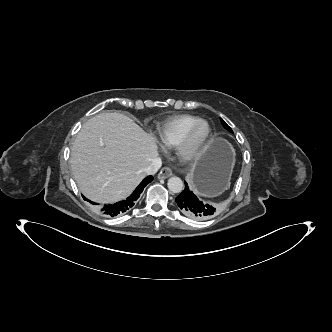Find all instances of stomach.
<instances>
[{
  "label": "stomach",
  "instance_id": "1",
  "mask_svg": "<svg viewBox=\"0 0 332 332\" xmlns=\"http://www.w3.org/2000/svg\"><path fill=\"white\" fill-rule=\"evenodd\" d=\"M234 162L233 147L223 138H212L189 174L192 191L204 197L220 195L228 186Z\"/></svg>",
  "mask_w": 332,
  "mask_h": 332
}]
</instances>
